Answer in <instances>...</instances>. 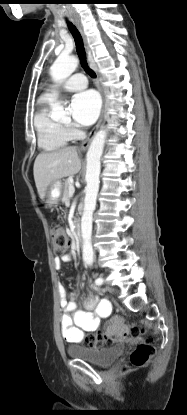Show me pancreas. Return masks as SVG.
<instances>
[{
    "instance_id": "obj_1",
    "label": "pancreas",
    "mask_w": 187,
    "mask_h": 415,
    "mask_svg": "<svg viewBox=\"0 0 187 415\" xmlns=\"http://www.w3.org/2000/svg\"><path fill=\"white\" fill-rule=\"evenodd\" d=\"M71 185H72L71 180L69 178L66 179L64 182V191H63V197H62V202L65 204H67L70 199L69 189Z\"/></svg>"
}]
</instances>
